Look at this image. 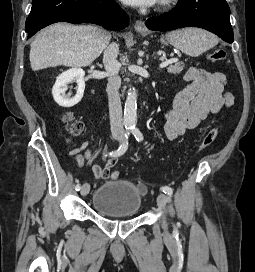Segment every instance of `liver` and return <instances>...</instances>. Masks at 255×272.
<instances>
[{
    "label": "liver",
    "mask_w": 255,
    "mask_h": 272,
    "mask_svg": "<svg viewBox=\"0 0 255 272\" xmlns=\"http://www.w3.org/2000/svg\"><path fill=\"white\" fill-rule=\"evenodd\" d=\"M110 39L111 34L97 26L53 24L40 31L31 43V68L86 67L99 57Z\"/></svg>",
    "instance_id": "6515ba94"
}]
</instances>
